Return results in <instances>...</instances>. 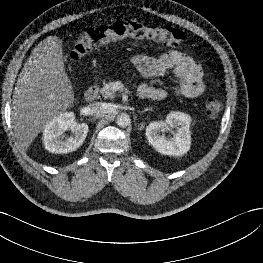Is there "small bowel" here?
<instances>
[{"mask_svg": "<svg viewBox=\"0 0 263 263\" xmlns=\"http://www.w3.org/2000/svg\"><path fill=\"white\" fill-rule=\"evenodd\" d=\"M131 62L145 79L161 77L171 70L178 81L175 92L179 96L195 98L205 89L201 67L191 57L179 51L171 50L158 58L137 54L131 58ZM138 91L143 93V98L154 100H161L167 96L165 90L148 84L141 85Z\"/></svg>", "mask_w": 263, "mask_h": 263, "instance_id": "obj_1", "label": "small bowel"}]
</instances>
